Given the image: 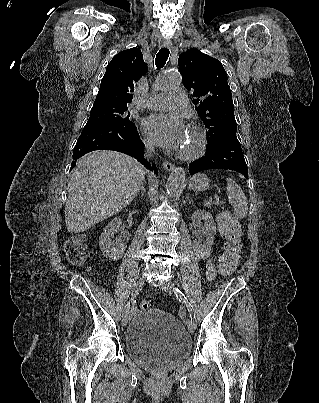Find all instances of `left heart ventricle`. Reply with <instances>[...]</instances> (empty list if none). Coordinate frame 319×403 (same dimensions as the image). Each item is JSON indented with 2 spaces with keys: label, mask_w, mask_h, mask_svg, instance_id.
Listing matches in <instances>:
<instances>
[{
  "label": "left heart ventricle",
  "mask_w": 319,
  "mask_h": 403,
  "mask_svg": "<svg viewBox=\"0 0 319 403\" xmlns=\"http://www.w3.org/2000/svg\"><path fill=\"white\" fill-rule=\"evenodd\" d=\"M195 145H196V139H195L194 135L190 131H188L185 143L181 147L180 151H184V152L192 151L194 149Z\"/></svg>",
  "instance_id": "b2bd125f"
}]
</instances>
